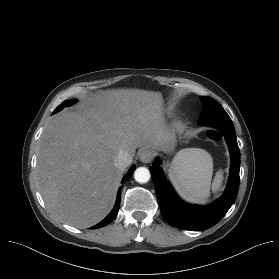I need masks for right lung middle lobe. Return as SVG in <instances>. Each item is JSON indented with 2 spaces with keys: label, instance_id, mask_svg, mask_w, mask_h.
<instances>
[{
  "label": "right lung middle lobe",
  "instance_id": "1",
  "mask_svg": "<svg viewBox=\"0 0 279 279\" xmlns=\"http://www.w3.org/2000/svg\"><path fill=\"white\" fill-rule=\"evenodd\" d=\"M75 102H76L75 99H74V100L65 101V102H63L61 105H59V106L56 108V110H55L54 112H57V111L61 110L63 107L68 106V105H71V104H73V103H75Z\"/></svg>",
  "mask_w": 279,
  "mask_h": 279
}]
</instances>
